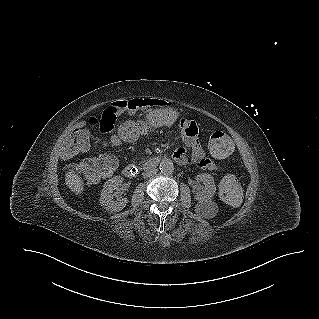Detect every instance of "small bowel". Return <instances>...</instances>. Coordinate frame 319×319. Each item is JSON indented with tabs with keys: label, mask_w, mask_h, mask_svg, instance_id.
Instances as JSON below:
<instances>
[{
	"label": "small bowel",
	"mask_w": 319,
	"mask_h": 319,
	"mask_svg": "<svg viewBox=\"0 0 319 319\" xmlns=\"http://www.w3.org/2000/svg\"><path fill=\"white\" fill-rule=\"evenodd\" d=\"M166 102L155 98L146 99H112V101L98 106L94 114L86 118L83 122L76 125L78 130H83L85 127L94 134L109 135L116 128V122L123 120L126 114L139 109L150 107H163ZM177 129L183 130L182 138L184 146L178 148L173 157L179 164L188 162V150H190L191 161L201 168L208 170H217V165L205 156L204 150L198 140L200 126L195 121H187L185 115L178 117Z\"/></svg>",
	"instance_id": "obj_1"
}]
</instances>
